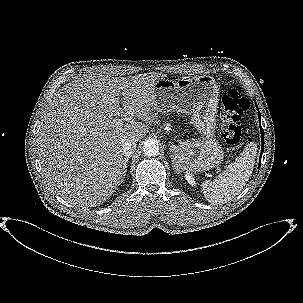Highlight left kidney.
I'll return each instance as SVG.
<instances>
[{
	"instance_id": "obj_1",
	"label": "left kidney",
	"mask_w": 303,
	"mask_h": 303,
	"mask_svg": "<svg viewBox=\"0 0 303 303\" xmlns=\"http://www.w3.org/2000/svg\"><path fill=\"white\" fill-rule=\"evenodd\" d=\"M187 181L193 186V185H195V181H194V179L191 177V176H188L187 177Z\"/></svg>"
}]
</instances>
